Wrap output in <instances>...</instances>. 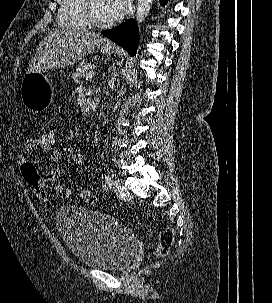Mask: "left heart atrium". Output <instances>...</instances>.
<instances>
[{
    "instance_id": "left-heart-atrium-1",
    "label": "left heart atrium",
    "mask_w": 272,
    "mask_h": 303,
    "mask_svg": "<svg viewBox=\"0 0 272 303\" xmlns=\"http://www.w3.org/2000/svg\"><path fill=\"white\" fill-rule=\"evenodd\" d=\"M127 7L128 0H105V13L109 21L121 19Z\"/></svg>"
}]
</instances>
